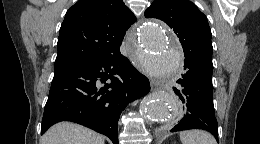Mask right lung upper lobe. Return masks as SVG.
<instances>
[{"label":"right lung upper lobe","instance_id":"obj_1","mask_svg":"<svg viewBox=\"0 0 260 144\" xmlns=\"http://www.w3.org/2000/svg\"><path fill=\"white\" fill-rule=\"evenodd\" d=\"M135 21L123 0H79L61 25L55 71L119 52Z\"/></svg>","mask_w":260,"mask_h":144}]
</instances>
